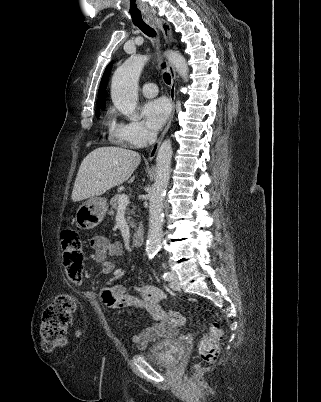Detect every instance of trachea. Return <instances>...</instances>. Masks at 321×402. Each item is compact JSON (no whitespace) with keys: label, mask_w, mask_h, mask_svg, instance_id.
Returning <instances> with one entry per match:
<instances>
[{"label":"trachea","mask_w":321,"mask_h":402,"mask_svg":"<svg viewBox=\"0 0 321 402\" xmlns=\"http://www.w3.org/2000/svg\"><path fill=\"white\" fill-rule=\"evenodd\" d=\"M135 25H136L144 34H146L147 36L152 37V38H155V37H156V32H155V30H154L153 28H151L149 25H147V24H145V23H143V24H135ZM161 66H162V68H165V64H164V63H163ZM163 78H164V81H165L168 85H170V83H171V76H170V74L167 73V72H164Z\"/></svg>","instance_id":"trachea-1"}]
</instances>
